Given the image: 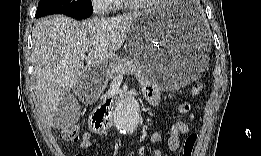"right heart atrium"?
Returning <instances> with one entry per match:
<instances>
[{"mask_svg": "<svg viewBox=\"0 0 261 156\" xmlns=\"http://www.w3.org/2000/svg\"><path fill=\"white\" fill-rule=\"evenodd\" d=\"M95 6L102 10H114L115 9V1L112 0H103V1H97L95 3Z\"/></svg>", "mask_w": 261, "mask_h": 156, "instance_id": "obj_1", "label": "right heart atrium"}]
</instances>
